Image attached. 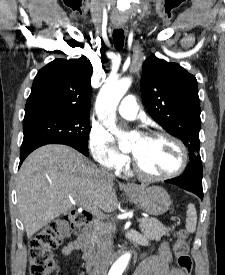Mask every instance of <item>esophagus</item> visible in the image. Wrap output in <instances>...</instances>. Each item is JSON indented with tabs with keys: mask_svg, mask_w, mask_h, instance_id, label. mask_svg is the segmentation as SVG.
Here are the masks:
<instances>
[{
	"mask_svg": "<svg viewBox=\"0 0 225 275\" xmlns=\"http://www.w3.org/2000/svg\"><path fill=\"white\" fill-rule=\"evenodd\" d=\"M116 27H117V28H121V26H116ZM125 188H126V189H134V188H135V185L128 183V184L125 185Z\"/></svg>",
	"mask_w": 225,
	"mask_h": 275,
	"instance_id": "34e87169",
	"label": "esophagus"
}]
</instances>
